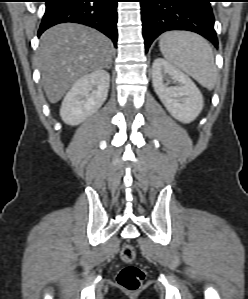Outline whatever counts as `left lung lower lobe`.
Here are the masks:
<instances>
[{
    "label": "left lung lower lobe",
    "instance_id": "0a47b994",
    "mask_svg": "<svg viewBox=\"0 0 248 299\" xmlns=\"http://www.w3.org/2000/svg\"><path fill=\"white\" fill-rule=\"evenodd\" d=\"M211 0H140L145 49L169 30L196 32L218 45Z\"/></svg>",
    "mask_w": 248,
    "mask_h": 299
}]
</instances>
